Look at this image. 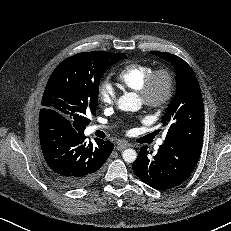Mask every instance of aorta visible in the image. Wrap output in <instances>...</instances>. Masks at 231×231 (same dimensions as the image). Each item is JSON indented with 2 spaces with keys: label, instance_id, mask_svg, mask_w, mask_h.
<instances>
[{
  "label": "aorta",
  "instance_id": "762f6f07",
  "mask_svg": "<svg viewBox=\"0 0 231 231\" xmlns=\"http://www.w3.org/2000/svg\"><path fill=\"white\" fill-rule=\"evenodd\" d=\"M117 107L122 111L136 112L141 108L140 98L135 93H126L117 101ZM125 162L133 163L137 158V153L134 149H126L122 153Z\"/></svg>",
  "mask_w": 231,
  "mask_h": 231
}]
</instances>
